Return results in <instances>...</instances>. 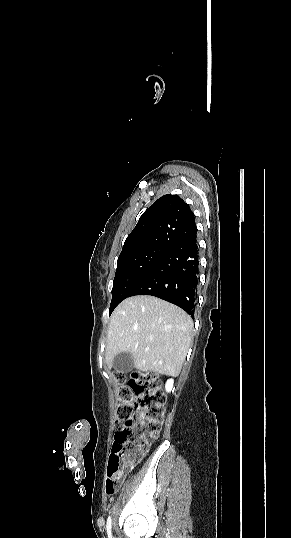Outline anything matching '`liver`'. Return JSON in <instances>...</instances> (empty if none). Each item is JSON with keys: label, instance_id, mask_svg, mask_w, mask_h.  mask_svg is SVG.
Segmentation results:
<instances>
[{"label": "liver", "instance_id": "liver-1", "mask_svg": "<svg viewBox=\"0 0 291 538\" xmlns=\"http://www.w3.org/2000/svg\"><path fill=\"white\" fill-rule=\"evenodd\" d=\"M193 321L181 308L148 295L125 299L111 315L106 361L122 352L132 354L139 371L180 373L191 345Z\"/></svg>", "mask_w": 291, "mask_h": 538}]
</instances>
